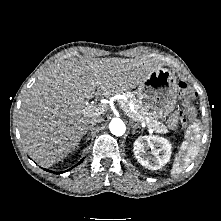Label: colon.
I'll return each mask as SVG.
<instances>
[{"label":"colon","instance_id":"5ec220e1","mask_svg":"<svg viewBox=\"0 0 221 221\" xmlns=\"http://www.w3.org/2000/svg\"><path fill=\"white\" fill-rule=\"evenodd\" d=\"M179 88H180L181 97L185 101L190 100V98L192 97V93L188 88L187 84L184 82H180ZM180 115H181L182 126L186 128L195 116V109L192 107L185 108L180 112Z\"/></svg>","mask_w":221,"mask_h":221}]
</instances>
